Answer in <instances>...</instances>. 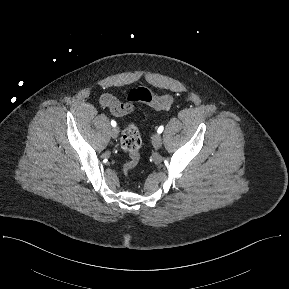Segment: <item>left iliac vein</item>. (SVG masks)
I'll list each match as a JSON object with an SVG mask.
<instances>
[{"label":"left iliac vein","instance_id":"obj_1","mask_svg":"<svg viewBox=\"0 0 289 289\" xmlns=\"http://www.w3.org/2000/svg\"><path fill=\"white\" fill-rule=\"evenodd\" d=\"M152 144L155 149H159L162 146V137L159 133L153 135Z\"/></svg>","mask_w":289,"mask_h":289}]
</instances>
